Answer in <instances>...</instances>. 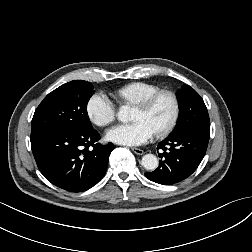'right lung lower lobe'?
<instances>
[{
	"mask_svg": "<svg viewBox=\"0 0 252 252\" xmlns=\"http://www.w3.org/2000/svg\"><path fill=\"white\" fill-rule=\"evenodd\" d=\"M37 166L52 184L70 192L93 187L104 176L114 146L96 143L95 129L85 132L40 131L31 133ZM93 147V148H89Z\"/></svg>",
	"mask_w": 252,
	"mask_h": 252,
	"instance_id": "obj_1",
	"label": "right lung lower lobe"
}]
</instances>
